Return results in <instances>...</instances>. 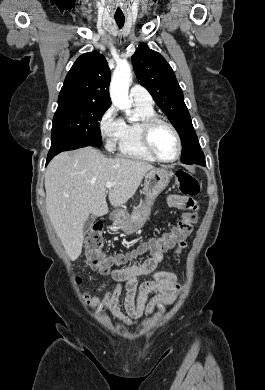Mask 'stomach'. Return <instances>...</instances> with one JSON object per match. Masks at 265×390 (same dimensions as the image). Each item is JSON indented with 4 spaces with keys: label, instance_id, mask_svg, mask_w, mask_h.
<instances>
[{
    "label": "stomach",
    "instance_id": "obj_1",
    "mask_svg": "<svg viewBox=\"0 0 265 390\" xmlns=\"http://www.w3.org/2000/svg\"><path fill=\"white\" fill-rule=\"evenodd\" d=\"M173 173L166 169H152L145 175L144 195L141 202L131 214L119 212L114 217V224L126 234L140 229L149 218L151 206L157 196L168 186Z\"/></svg>",
    "mask_w": 265,
    "mask_h": 390
}]
</instances>
